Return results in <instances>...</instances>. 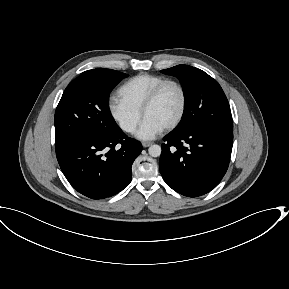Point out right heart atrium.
<instances>
[{
    "instance_id": "1",
    "label": "right heart atrium",
    "mask_w": 289,
    "mask_h": 289,
    "mask_svg": "<svg viewBox=\"0 0 289 289\" xmlns=\"http://www.w3.org/2000/svg\"><path fill=\"white\" fill-rule=\"evenodd\" d=\"M108 109L112 119L122 131L131 134L136 130L141 120V112L130 108L116 98L110 99Z\"/></svg>"
}]
</instances>
